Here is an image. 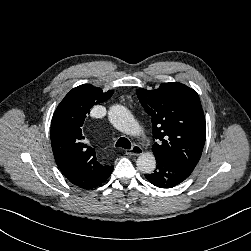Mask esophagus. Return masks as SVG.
Wrapping results in <instances>:
<instances>
[{
    "label": "esophagus",
    "mask_w": 251,
    "mask_h": 251,
    "mask_svg": "<svg viewBox=\"0 0 251 251\" xmlns=\"http://www.w3.org/2000/svg\"><path fill=\"white\" fill-rule=\"evenodd\" d=\"M126 154L132 156H138L143 154V149L138 145H134L131 149L126 150Z\"/></svg>",
    "instance_id": "esophagus-1"
}]
</instances>
